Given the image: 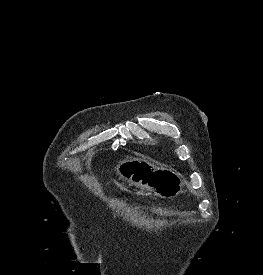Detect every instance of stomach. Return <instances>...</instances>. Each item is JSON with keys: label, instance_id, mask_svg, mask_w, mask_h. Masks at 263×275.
Wrapping results in <instances>:
<instances>
[{"label": "stomach", "instance_id": "stomach-1", "mask_svg": "<svg viewBox=\"0 0 263 275\" xmlns=\"http://www.w3.org/2000/svg\"><path fill=\"white\" fill-rule=\"evenodd\" d=\"M116 171L120 179L141 190L151 191L160 198H174L183 189L179 173L172 169L157 167L143 159L124 160L117 166Z\"/></svg>", "mask_w": 263, "mask_h": 275}]
</instances>
